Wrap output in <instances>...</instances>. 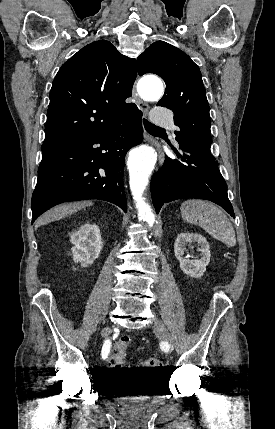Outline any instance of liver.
Segmentation results:
<instances>
[{
	"mask_svg": "<svg viewBox=\"0 0 275 429\" xmlns=\"http://www.w3.org/2000/svg\"><path fill=\"white\" fill-rule=\"evenodd\" d=\"M83 206V204H68V205H61L57 206L48 212H46L44 215H42L36 222V226H41L43 224H46L50 221L57 220L59 218H62L63 216H66L68 214H71L78 209H80Z\"/></svg>",
	"mask_w": 275,
	"mask_h": 429,
	"instance_id": "1",
	"label": "liver"
}]
</instances>
